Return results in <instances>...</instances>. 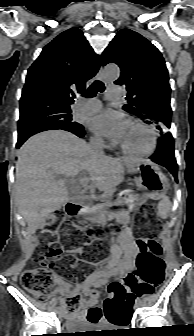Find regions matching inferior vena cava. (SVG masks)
Here are the masks:
<instances>
[{
    "label": "inferior vena cava",
    "instance_id": "obj_1",
    "mask_svg": "<svg viewBox=\"0 0 194 336\" xmlns=\"http://www.w3.org/2000/svg\"><path fill=\"white\" fill-rule=\"evenodd\" d=\"M89 147L98 154H104L103 143L99 139L90 142Z\"/></svg>",
    "mask_w": 194,
    "mask_h": 336
}]
</instances>
